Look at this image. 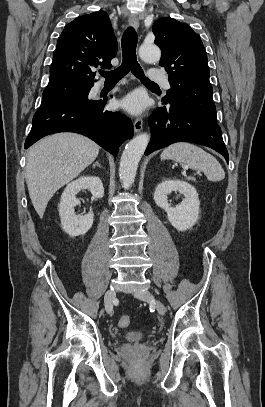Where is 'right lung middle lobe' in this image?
<instances>
[{
	"mask_svg": "<svg viewBox=\"0 0 265 407\" xmlns=\"http://www.w3.org/2000/svg\"><path fill=\"white\" fill-rule=\"evenodd\" d=\"M89 86L90 84L75 82L49 83L43 92L42 104L40 108L53 104L73 101L87 91Z\"/></svg>",
	"mask_w": 265,
	"mask_h": 407,
	"instance_id": "dd1d6c3e",
	"label": "right lung middle lobe"
}]
</instances>
